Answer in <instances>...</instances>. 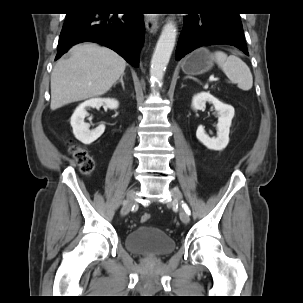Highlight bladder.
Here are the masks:
<instances>
[{
	"instance_id": "1",
	"label": "bladder",
	"mask_w": 303,
	"mask_h": 303,
	"mask_svg": "<svg viewBox=\"0 0 303 303\" xmlns=\"http://www.w3.org/2000/svg\"><path fill=\"white\" fill-rule=\"evenodd\" d=\"M124 247L129 253L142 257H165L175 251L176 243L168 233L141 225L126 235Z\"/></svg>"
}]
</instances>
